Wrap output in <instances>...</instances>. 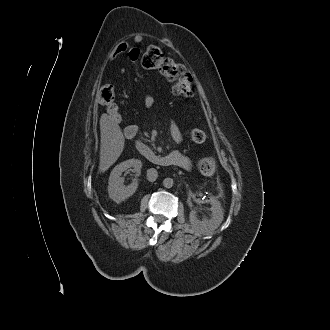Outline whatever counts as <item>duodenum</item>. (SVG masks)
<instances>
[{
  "mask_svg": "<svg viewBox=\"0 0 330 330\" xmlns=\"http://www.w3.org/2000/svg\"><path fill=\"white\" fill-rule=\"evenodd\" d=\"M131 127H127L125 130V136L127 139H133L136 134V129L131 132ZM138 150L142 156L150 163L157 166H168L170 163L165 155H159L151 150L148 146L143 143L138 144Z\"/></svg>",
  "mask_w": 330,
  "mask_h": 330,
  "instance_id": "1",
  "label": "duodenum"
}]
</instances>
